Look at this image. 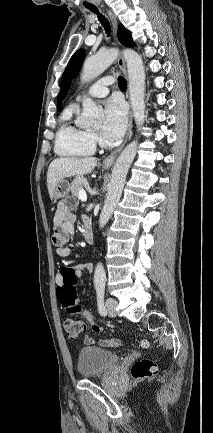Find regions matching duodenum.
Listing matches in <instances>:
<instances>
[{
	"instance_id": "obj_1",
	"label": "duodenum",
	"mask_w": 213,
	"mask_h": 433,
	"mask_svg": "<svg viewBox=\"0 0 213 433\" xmlns=\"http://www.w3.org/2000/svg\"><path fill=\"white\" fill-rule=\"evenodd\" d=\"M84 238L88 244H92L94 242V235L92 233L90 226L84 227Z\"/></svg>"
}]
</instances>
